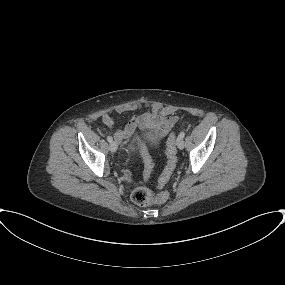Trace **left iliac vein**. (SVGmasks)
Masks as SVG:
<instances>
[{
	"instance_id": "4c4485c4",
	"label": "left iliac vein",
	"mask_w": 285,
	"mask_h": 285,
	"mask_svg": "<svg viewBox=\"0 0 285 285\" xmlns=\"http://www.w3.org/2000/svg\"><path fill=\"white\" fill-rule=\"evenodd\" d=\"M176 145L179 149H183L184 148V141L182 137H178L177 141H176Z\"/></svg>"
}]
</instances>
